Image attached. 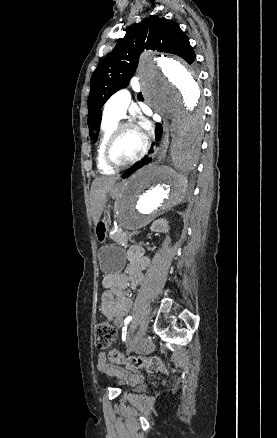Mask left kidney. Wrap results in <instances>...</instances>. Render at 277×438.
<instances>
[{"instance_id": "left-kidney-1", "label": "left kidney", "mask_w": 277, "mask_h": 438, "mask_svg": "<svg viewBox=\"0 0 277 438\" xmlns=\"http://www.w3.org/2000/svg\"><path fill=\"white\" fill-rule=\"evenodd\" d=\"M152 232H165L167 234L169 230L168 222L165 220V218H160V220H155L151 226ZM166 240H169V236H167Z\"/></svg>"}]
</instances>
